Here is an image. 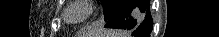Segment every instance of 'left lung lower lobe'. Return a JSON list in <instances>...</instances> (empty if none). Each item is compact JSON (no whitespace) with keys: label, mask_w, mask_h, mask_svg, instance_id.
<instances>
[{"label":"left lung lower lobe","mask_w":219,"mask_h":37,"mask_svg":"<svg viewBox=\"0 0 219 37\" xmlns=\"http://www.w3.org/2000/svg\"><path fill=\"white\" fill-rule=\"evenodd\" d=\"M149 0H119L105 27L127 29L134 37H150L153 21Z\"/></svg>","instance_id":"0a47b994"}]
</instances>
